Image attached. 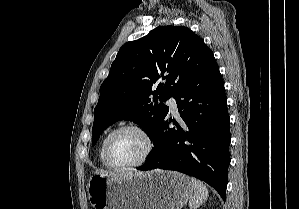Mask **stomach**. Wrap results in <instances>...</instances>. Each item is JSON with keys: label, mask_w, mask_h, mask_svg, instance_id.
Masks as SVG:
<instances>
[{"label": "stomach", "mask_w": 299, "mask_h": 209, "mask_svg": "<svg viewBox=\"0 0 299 209\" xmlns=\"http://www.w3.org/2000/svg\"><path fill=\"white\" fill-rule=\"evenodd\" d=\"M87 191L94 209H181L193 187L184 174L156 169L126 178L94 174Z\"/></svg>", "instance_id": "stomach-1"}]
</instances>
